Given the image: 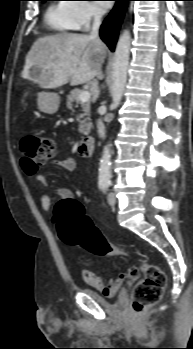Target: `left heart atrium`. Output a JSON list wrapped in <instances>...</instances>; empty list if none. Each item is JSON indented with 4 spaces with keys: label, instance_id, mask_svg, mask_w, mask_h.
Listing matches in <instances>:
<instances>
[{
    "label": "left heart atrium",
    "instance_id": "1",
    "mask_svg": "<svg viewBox=\"0 0 193 349\" xmlns=\"http://www.w3.org/2000/svg\"><path fill=\"white\" fill-rule=\"evenodd\" d=\"M99 6H100L101 8L107 9V8L110 7V4H108V3H100Z\"/></svg>",
    "mask_w": 193,
    "mask_h": 349
}]
</instances>
